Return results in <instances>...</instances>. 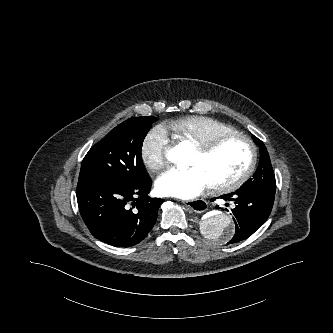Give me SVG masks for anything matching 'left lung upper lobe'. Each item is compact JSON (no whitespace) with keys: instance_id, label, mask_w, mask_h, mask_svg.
Wrapping results in <instances>:
<instances>
[{"instance_id":"obj_1","label":"left lung upper lobe","mask_w":333,"mask_h":333,"mask_svg":"<svg viewBox=\"0 0 333 333\" xmlns=\"http://www.w3.org/2000/svg\"><path fill=\"white\" fill-rule=\"evenodd\" d=\"M260 148V162L252 178L246 181L240 190L264 192L275 195L276 181L268 151L261 140L253 136Z\"/></svg>"}]
</instances>
